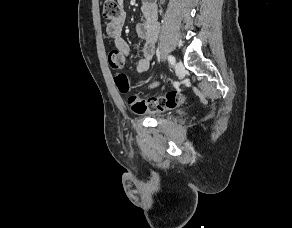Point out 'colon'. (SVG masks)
<instances>
[{
  "mask_svg": "<svg viewBox=\"0 0 292 228\" xmlns=\"http://www.w3.org/2000/svg\"><path fill=\"white\" fill-rule=\"evenodd\" d=\"M102 14L108 24L117 21L121 16V7L118 0H105ZM108 62L113 69H119L123 64V58L116 51H111L108 55ZM115 83L121 92H128V81L124 74L119 73L115 77ZM185 100V96L180 92L171 91L164 96L150 97L147 99H142L136 95H132L128 98V105L134 113L145 114L149 112H163L174 109L183 104Z\"/></svg>",
  "mask_w": 292,
  "mask_h": 228,
  "instance_id": "colon-1",
  "label": "colon"
}]
</instances>
